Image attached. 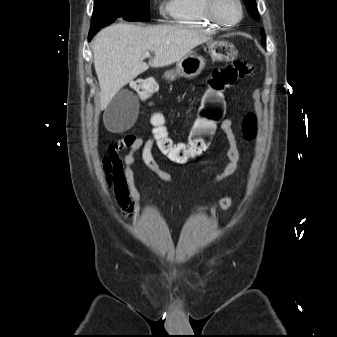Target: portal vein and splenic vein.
Segmentation results:
<instances>
[{"mask_svg": "<svg viewBox=\"0 0 337 337\" xmlns=\"http://www.w3.org/2000/svg\"><path fill=\"white\" fill-rule=\"evenodd\" d=\"M143 57H144V58H145V57H150V53H149V52L144 53V54H143Z\"/></svg>", "mask_w": 337, "mask_h": 337, "instance_id": "1", "label": "portal vein and splenic vein"}]
</instances>
